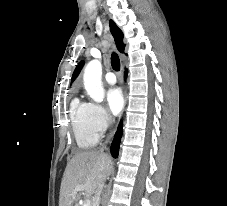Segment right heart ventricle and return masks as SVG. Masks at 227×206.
Listing matches in <instances>:
<instances>
[{
  "mask_svg": "<svg viewBox=\"0 0 227 206\" xmlns=\"http://www.w3.org/2000/svg\"><path fill=\"white\" fill-rule=\"evenodd\" d=\"M70 119L76 143L81 149L94 147L99 139V134L93 129L90 116L89 104L73 99L70 104Z\"/></svg>",
  "mask_w": 227,
  "mask_h": 206,
  "instance_id": "1",
  "label": "right heart ventricle"
}]
</instances>
